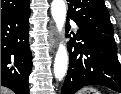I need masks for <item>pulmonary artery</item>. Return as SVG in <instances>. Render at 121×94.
<instances>
[{
  "instance_id": "e3ab8cb5",
  "label": "pulmonary artery",
  "mask_w": 121,
  "mask_h": 94,
  "mask_svg": "<svg viewBox=\"0 0 121 94\" xmlns=\"http://www.w3.org/2000/svg\"><path fill=\"white\" fill-rule=\"evenodd\" d=\"M72 26H73V28H74V29H76V30H77V25H76V23H75V22H73V23H72Z\"/></svg>"
}]
</instances>
